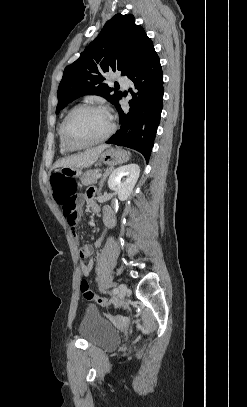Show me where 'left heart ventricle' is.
Instances as JSON below:
<instances>
[{"instance_id":"obj_1","label":"left heart ventricle","mask_w":247,"mask_h":407,"mask_svg":"<svg viewBox=\"0 0 247 407\" xmlns=\"http://www.w3.org/2000/svg\"><path fill=\"white\" fill-rule=\"evenodd\" d=\"M108 116L99 110L78 112L68 125V137L77 144L88 143L102 137L109 129Z\"/></svg>"}]
</instances>
